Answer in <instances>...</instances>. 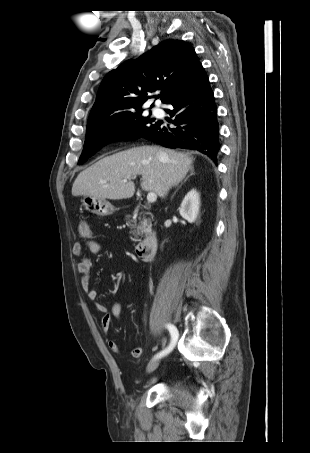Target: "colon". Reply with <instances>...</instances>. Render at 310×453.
<instances>
[{
  "instance_id": "colon-1",
  "label": "colon",
  "mask_w": 310,
  "mask_h": 453,
  "mask_svg": "<svg viewBox=\"0 0 310 453\" xmlns=\"http://www.w3.org/2000/svg\"><path fill=\"white\" fill-rule=\"evenodd\" d=\"M91 234V231H90V226L88 224V222L86 221H81L78 225V235L81 237V238H88Z\"/></svg>"
}]
</instances>
